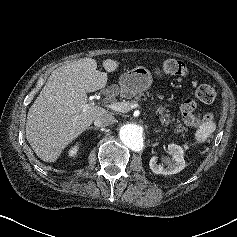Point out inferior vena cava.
Instances as JSON below:
<instances>
[{"label": "inferior vena cava", "instance_id": "inferior-vena-cava-1", "mask_svg": "<svg viewBox=\"0 0 237 237\" xmlns=\"http://www.w3.org/2000/svg\"><path fill=\"white\" fill-rule=\"evenodd\" d=\"M115 118L112 114L105 113L94 120V125L97 127H105L115 123Z\"/></svg>", "mask_w": 237, "mask_h": 237}]
</instances>
